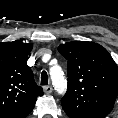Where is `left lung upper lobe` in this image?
Instances as JSON below:
<instances>
[{
    "label": "left lung upper lobe",
    "mask_w": 118,
    "mask_h": 118,
    "mask_svg": "<svg viewBox=\"0 0 118 118\" xmlns=\"http://www.w3.org/2000/svg\"><path fill=\"white\" fill-rule=\"evenodd\" d=\"M67 60L68 89L62 107L71 118H104L118 93V66L108 51L94 42L59 45Z\"/></svg>",
    "instance_id": "obj_1"
}]
</instances>
